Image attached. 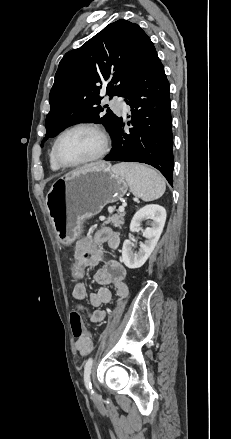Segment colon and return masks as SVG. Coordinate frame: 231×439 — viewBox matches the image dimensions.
I'll list each match as a JSON object with an SVG mask.
<instances>
[{"label": "colon", "instance_id": "colon-1", "mask_svg": "<svg viewBox=\"0 0 231 439\" xmlns=\"http://www.w3.org/2000/svg\"><path fill=\"white\" fill-rule=\"evenodd\" d=\"M82 263L83 260L80 257L75 258L72 262L71 276L73 279H76L74 283H85L82 278L86 271V266ZM70 326L74 337L78 339L90 338V333L85 329L81 315L77 311H72L70 314Z\"/></svg>", "mask_w": 231, "mask_h": 439}]
</instances>
